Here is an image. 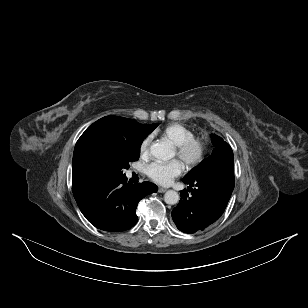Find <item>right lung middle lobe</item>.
<instances>
[{"label":"right lung middle lobe","instance_id":"right-lung-middle-lobe-1","mask_svg":"<svg viewBox=\"0 0 308 308\" xmlns=\"http://www.w3.org/2000/svg\"><path fill=\"white\" fill-rule=\"evenodd\" d=\"M158 124L146 125L138 141L118 145L108 151L104 158L105 178L124 177V169L130 167L129 163L137 161L140 155V147L144 138L151 133Z\"/></svg>","mask_w":308,"mask_h":308}]
</instances>
